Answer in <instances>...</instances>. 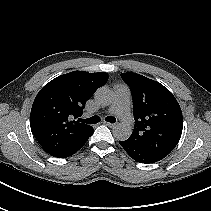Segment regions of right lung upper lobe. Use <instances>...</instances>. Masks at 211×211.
I'll return each mask as SVG.
<instances>
[{"mask_svg": "<svg viewBox=\"0 0 211 211\" xmlns=\"http://www.w3.org/2000/svg\"><path fill=\"white\" fill-rule=\"evenodd\" d=\"M108 74L73 71L47 83L31 109L30 127L42 148L52 156L62 154L85 139L93 128L77 120Z\"/></svg>", "mask_w": 211, "mask_h": 211, "instance_id": "cb5924a9", "label": "right lung upper lobe"}]
</instances>
